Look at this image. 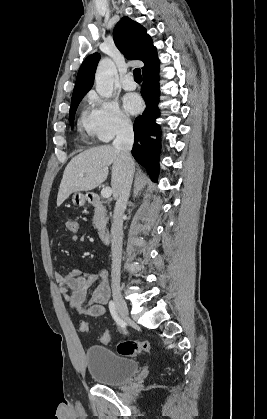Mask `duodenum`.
<instances>
[{"instance_id": "obj_1", "label": "duodenum", "mask_w": 267, "mask_h": 419, "mask_svg": "<svg viewBox=\"0 0 267 419\" xmlns=\"http://www.w3.org/2000/svg\"><path fill=\"white\" fill-rule=\"evenodd\" d=\"M88 200H89V203L91 205H93L94 207H97V208H102L103 207V202H102L101 198L96 194L90 195L88 197ZM99 237H100L101 241L105 244L110 241L111 231H110V227L108 225H104L100 228Z\"/></svg>"}]
</instances>
